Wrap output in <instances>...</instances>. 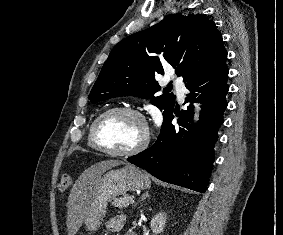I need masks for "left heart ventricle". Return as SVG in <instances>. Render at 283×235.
<instances>
[{
	"label": "left heart ventricle",
	"mask_w": 283,
	"mask_h": 235,
	"mask_svg": "<svg viewBox=\"0 0 283 235\" xmlns=\"http://www.w3.org/2000/svg\"><path fill=\"white\" fill-rule=\"evenodd\" d=\"M144 133L141 121L128 113H117L105 118L98 128V138L103 146L123 151L139 143Z\"/></svg>",
	"instance_id": "obj_1"
}]
</instances>
